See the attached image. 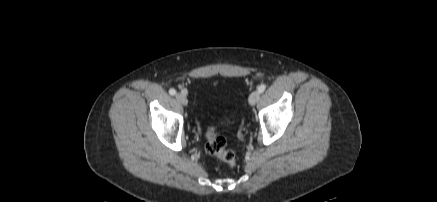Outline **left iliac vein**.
Returning a JSON list of instances; mask_svg holds the SVG:
<instances>
[{
    "label": "left iliac vein",
    "instance_id": "4c4485c4",
    "mask_svg": "<svg viewBox=\"0 0 437 202\" xmlns=\"http://www.w3.org/2000/svg\"><path fill=\"white\" fill-rule=\"evenodd\" d=\"M260 98V92L259 91H253L249 96V104L251 106L255 105Z\"/></svg>",
    "mask_w": 437,
    "mask_h": 202
}]
</instances>
